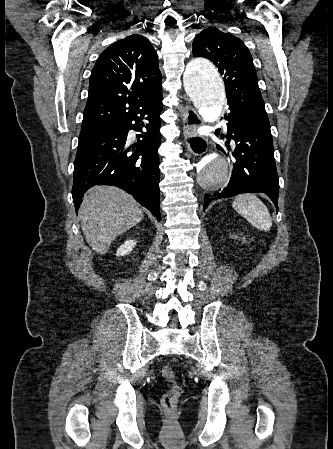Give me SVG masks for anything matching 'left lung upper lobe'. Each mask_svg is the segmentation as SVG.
<instances>
[{
    "label": "left lung upper lobe",
    "mask_w": 333,
    "mask_h": 449,
    "mask_svg": "<svg viewBox=\"0 0 333 449\" xmlns=\"http://www.w3.org/2000/svg\"><path fill=\"white\" fill-rule=\"evenodd\" d=\"M193 55L211 60L223 76L229 107L269 123L252 56L243 41L217 28L196 35Z\"/></svg>",
    "instance_id": "1"
}]
</instances>
